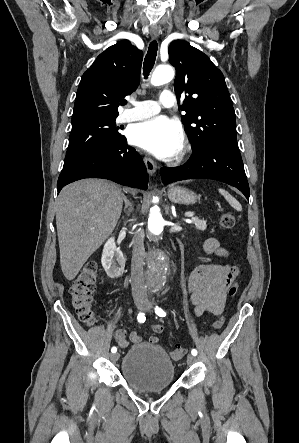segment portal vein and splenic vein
Wrapping results in <instances>:
<instances>
[{"mask_svg":"<svg viewBox=\"0 0 299 443\" xmlns=\"http://www.w3.org/2000/svg\"><path fill=\"white\" fill-rule=\"evenodd\" d=\"M185 216L186 217H193L194 213L193 212H187V213H185Z\"/></svg>","mask_w":299,"mask_h":443,"instance_id":"18ae733b","label":"portal vein and splenic vein"}]
</instances>
